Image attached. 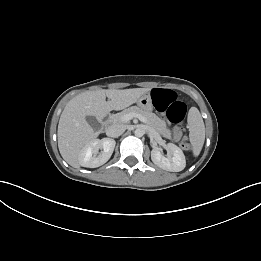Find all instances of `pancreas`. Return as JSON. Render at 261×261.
I'll use <instances>...</instances> for the list:
<instances>
[{"instance_id":"cf45deb5","label":"pancreas","mask_w":261,"mask_h":261,"mask_svg":"<svg viewBox=\"0 0 261 261\" xmlns=\"http://www.w3.org/2000/svg\"><path fill=\"white\" fill-rule=\"evenodd\" d=\"M135 113L143 116L146 120L148 126L158 132L159 134L163 135L166 138L171 137V131L167 128L166 122L159 118L156 114L152 113L151 111H144L137 106H132L123 110L120 113L113 114L110 116V122L112 123H123L122 116L125 114Z\"/></svg>"}]
</instances>
